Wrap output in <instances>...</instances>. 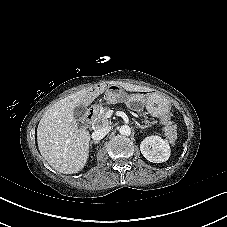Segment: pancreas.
Here are the masks:
<instances>
[{"label":"pancreas","instance_id":"1","mask_svg":"<svg viewBox=\"0 0 227 227\" xmlns=\"http://www.w3.org/2000/svg\"><path fill=\"white\" fill-rule=\"evenodd\" d=\"M110 111L109 107H102L100 108L99 112L97 113V119L98 122L101 123L102 126H108L110 124V121L107 117V112ZM144 116V123L148 124V126H151V124H155L156 121L150 122L147 120V116L143 114ZM177 127L176 125H173L172 122H169L165 127L162 128V131L164 132V135L169 140L170 143L174 144L177 139Z\"/></svg>","mask_w":227,"mask_h":227}]
</instances>
